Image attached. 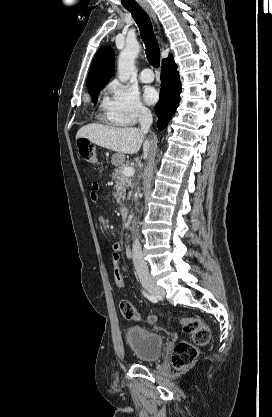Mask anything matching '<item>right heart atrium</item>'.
I'll list each match as a JSON object with an SVG mask.
<instances>
[{
    "label": "right heart atrium",
    "mask_w": 272,
    "mask_h": 417,
    "mask_svg": "<svg viewBox=\"0 0 272 417\" xmlns=\"http://www.w3.org/2000/svg\"><path fill=\"white\" fill-rule=\"evenodd\" d=\"M103 108L108 119L117 125H133L150 114L138 92L118 81L108 85Z\"/></svg>",
    "instance_id": "right-heart-atrium-1"
}]
</instances>
